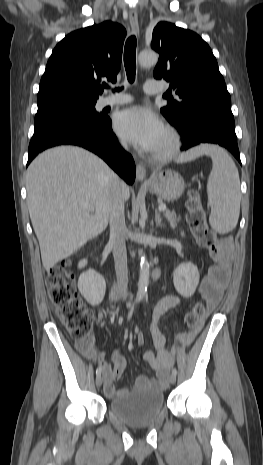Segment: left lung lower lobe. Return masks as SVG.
Masks as SVG:
<instances>
[{"label": "left lung lower lobe", "mask_w": 263, "mask_h": 465, "mask_svg": "<svg viewBox=\"0 0 263 465\" xmlns=\"http://www.w3.org/2000/svg\"><path fill=\"white\" fill-rule=\"evenodd\" d=\"M173 125L182 136L181 150L185 151L201 143L218 144L228 149L241 163L231 111L202 106L185 120Z\"/></svg>", "instance_id": "1"}]
</instances>
